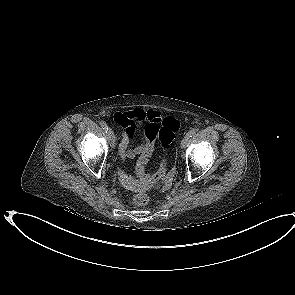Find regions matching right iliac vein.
I'll list each match as a JSON object with an SVG mask.
<instances>
[{
	"mask_svg": "<svg viewBox=\"0 0 295 295\" xmlns=\"http://www.w3.org/2000/svg\"><path fill=\"white\" fill-rule=\"evenodd\" d=\"M107 134L110 138H112V140H114L115 136H114V132L112 131V129L108 128Z\"/></svg>",
	"mask_w": 295,
	"mask_h": 295,
	"instance_id": "1",
	"label": "right iliac vein"
}]
</instances>
